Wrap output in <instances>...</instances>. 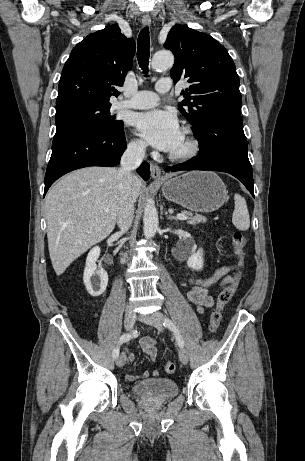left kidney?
<instances>
[{"label":"left kidney","instance_id":"5707ae66","mask_svg":"<svg viewBox=\"0 0 305 461\" xmlns=\"http://www.w3.org/2000/svg\"><path fill=\"white\" fill-rule=\"evenodd\" d=\"M203 250L200 249L197 252H193L188 260H187V266L193 270H201L203 268Z\"/></svg>","mask_w":305,"mask_h":461}]
</instances>
